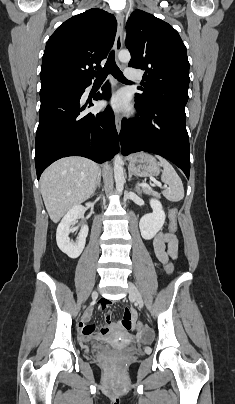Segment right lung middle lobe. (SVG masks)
<instances>
[{
	"instance_id": "right-lung-middle-lobe-1",
	"label": "right lung middle lobe",
	"mask_w": 235,
	"mask_h": 404,
	"mask_svg": "<svg viewBox=\"0 0 235 404\" xmlns=\"http://www.w3.org/2000/svg\"><path fill=\"white\" fill-rule=\"evenodd\" d=\"M74 84L70 83H64V82H52V83H47L41 85V91H40V96L51 93V92H56V91H63V90H68V89H73Z\"/></svg>"
}]
</instances>
